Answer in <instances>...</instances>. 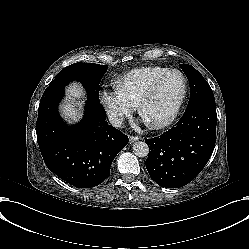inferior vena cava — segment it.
Returning <instances> with one entry per match:
<instances>
[{
	"mask_svg": "<svg viewBox=\"0 0 249 249\" xmlns=\"http://www.w3.org/2000/svg\"><path fill=\"white\" fill-rule=\"evenodd\" d=\"M107 119L110 125L114 127H121L124 121V116L113 109L107 111Z\"/></svg>",
	"mask_w": 249,
	"mask_h": 249,
	"instance_id": "1",
	"label": "inferior vena cava"
}]
</instances>
